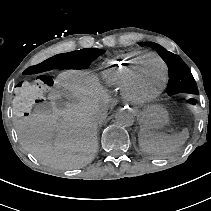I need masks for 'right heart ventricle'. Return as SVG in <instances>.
Listing matches in <instances>:
<instances>
[{
  "instance_id": "right-heart-ventricle-1",
  "label": "right heart ventricle",
  "mask_w": 211,
  "mask_h": 211,
  "mask_svg": "<svg viewBox=\"0 0 211 211\" xmlns=\"http://www.w3.org/2000/svg\"><path fill=\"white\" fill-rule=\"evenodd\" d=\"M145 55L148 54L141 55L138 50H128L123 55L117 56L116 59L108 60L104 67L108 83L127 97L130 71Z\"/></svg>"
}]
</instances>
